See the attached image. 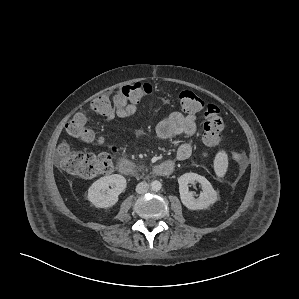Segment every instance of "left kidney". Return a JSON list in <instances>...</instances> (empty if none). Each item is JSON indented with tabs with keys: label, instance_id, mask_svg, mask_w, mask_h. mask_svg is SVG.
<instances>
[{
	"label": "left kidney",
	"instance_id": "1",
	"mask_svg": "<svg viewBox=\"0 0 299 299\" xmlns=\"http://www.w3.org/2000/svg\"><path fill=\"white\" fill-rule=\"evenodd\" d=\"M198 182L202 186V192L198 198L193 197L188 184ZM181 202L190 210L207 209L217 201V193L211 183L203 176L196 173H185L178 178Z\"/></svg>",
	"mask_w": 299,
	"mask_h": 299
}]
</instances>
